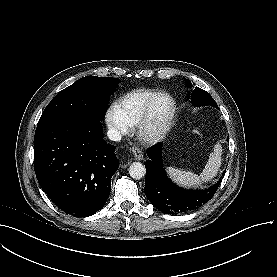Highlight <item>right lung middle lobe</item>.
Masks as SVG:
<instances>
[{
  "label": "right lung middle lobe",
  "mask_w": 277,
  "mask_h": 277,
  "mask_svg": "<svg viewBox=\"0 0 277 277\" xmlns=\"http://www.w3.org/2000/svg\"><path fill=\"white\" fill-rule=\"evenodd\" d=\"M120 80L86 76L59 92L43 111L37 127L54 123L101 121Z\"/></svg>",
  "instance_id": "obj_1"
}]
</instances>
